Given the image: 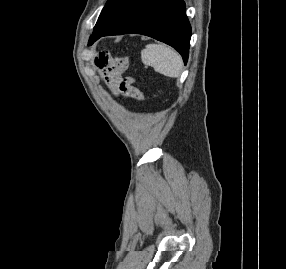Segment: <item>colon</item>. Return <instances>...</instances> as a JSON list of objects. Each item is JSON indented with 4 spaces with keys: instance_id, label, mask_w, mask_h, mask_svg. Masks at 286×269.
Listing matches in <instances>:
<instances>
[{
    "instance_id": "obj_1",
    "label": "colon",
    "mask_w": 286,
    "mask_h": 269,
    "mask_svg": "<svg viewBox=\"0 0 286 269\" xmlns=\"http://www.w3.org/2000/svg\"><path fill=\"white\" fill-rule=\"evenodd\" d=\"M117 70H124V65H117ZM122 88H126L127 90L123 91V94L125 95V100H141L142 99V93L138 89V83H131L130 80L124 79L122 80Z\"/></svg>"
}]
</instances>
